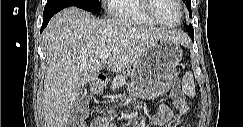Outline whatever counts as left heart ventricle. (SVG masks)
<instances>
[{
  "label": "left heart ventricle",
  "mask_w": 243,
  "mask_h": 127,
  "mask_svg": "<svg viewBox=\"0 0 243 127\" xmlns=\"http://www.w3.org/2000/svg\"><path fill=\"white\" fill-rule=\"evenodd\" d=\"M154 13L167 24H174L180 18V10L175 0H154Z\"/></svg>",
  "instance_id": "1"
}]
</instances>
